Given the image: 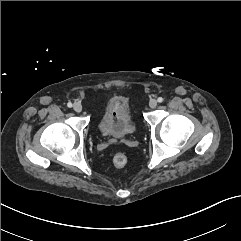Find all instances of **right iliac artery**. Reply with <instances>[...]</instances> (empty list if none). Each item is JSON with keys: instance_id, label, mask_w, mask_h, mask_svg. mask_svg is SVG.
I'll list each match as a JSON object with an SVG mask.
<instances>
[{"instance_id": "1", "label": "right iliac artery", "mask_w": 241, "mask_h": 241, "mask_svg": "<svg viewBox=\"0 0 241 241\" xmlns=\"http://www.w3.org/2000/svg\"><path fill=\"white\" fill-rule=\"evenodd\" d=\"M67 106H68L69 108H71V107H72V103H71V102L67 103Z\"/></svg>"}]
</instances>
